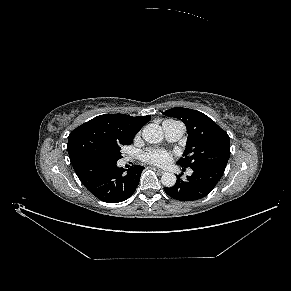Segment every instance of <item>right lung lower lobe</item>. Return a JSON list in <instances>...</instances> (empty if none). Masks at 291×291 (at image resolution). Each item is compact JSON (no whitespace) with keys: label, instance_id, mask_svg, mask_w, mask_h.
<instances>
[{"label":"right lung lower lobe","instance_id":"98d812e1","mask_svg":"<svg viewBox=\"0 0 291 291\" xmlns=\"http://www.w3.org/2000/svg\"><path fill=\"white\" fill-rule=\"evenodd\" d=\"M83 185L98 199L117 203L135 192L144 167L135 165L127 170L117 167V161L89 156L72 163Z\"/></svg>","mask_w":291,"mask_h":291}]
</instances>
